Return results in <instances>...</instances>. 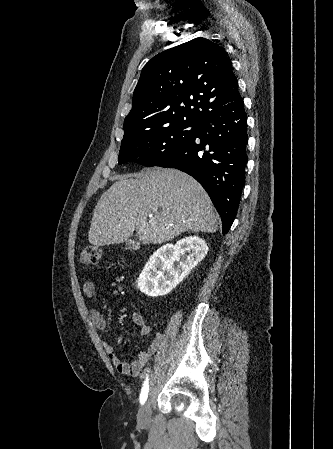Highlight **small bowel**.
<instances>
[{
	"label": "small bowel",
	"instance_id": "small-bowel-1",
	"mask_svg": "<svg viewBox=\"0 0 333 449\" xmlns=\"http://www.w3.org/2000/svg\"><path fill=\"white\" fill-rule=\"evenodd\" d=\"M83 293L89 298L93 299L97 294V286L93 281H86L83 284ZM91 319L94 325L100 329L104 330L106 328V321L102 314L96 310L91 309L90 311ZM132 322L137 325L140 329L141 336H151L152 338L146 347V349L139 351L137 358L127 363L123 361L115 351V345L104 342L103 348L111 361V363L115 366L117 371L123 375L128 376H137L141 373L142 369L149 361V359L157 352L159 347L162 344V335L160 333H153L151 326L147 323L146 318L140 312H133L131 315ZM120 342V338L118 339Z\"/></svg>",
	"mask_w": 333,
	"mask_h": 449
}]
</instances>
